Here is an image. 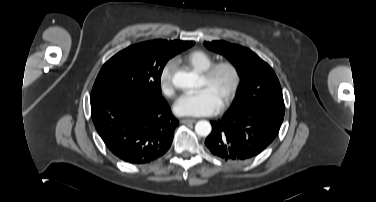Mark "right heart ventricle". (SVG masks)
Listing matches in <instances>:
<instances>
[{
	"label": "right heart ventricle",
	"mask_w": 376,
	"mask_h": 202,
	"mask_svg": "<svg viewBox=\"0 0 376 202\" xmlns=\"http://www.w3.org/2000/svg\"><path fill=\"white\" fill-rule=\"evenodd\" d=\"M176 61L198 72H203L213 64L214 58L207 51L198 49L177 57Z\"/></svg>",
	"instance_id": "right-heart-ventricle-1"
}]
</instances>
